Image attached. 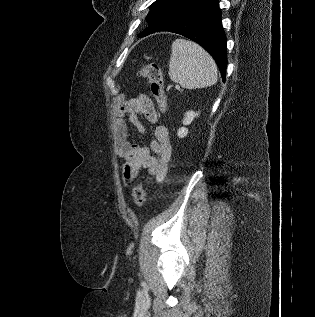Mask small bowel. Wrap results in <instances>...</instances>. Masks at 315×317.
<instances>
[{"instance_id":"c3829d8e","label":"small bowel","mask_w":315,"mask_h":317,"mask_svg":"<svg viewBox=\"0 0 315 317\" xmlns=\"http://www.w3.org/2000/svg\"><path fill=\"white\" fill-rule=\"evenodd\" d=\"M112 121L114 134V153L125 160L123 174L125 181L135 178L141 168L148 170L149 178L162 182L168 172L172 146L168 129L158 124V114L153 102L146 96L132 99L121 105L114 112ZM144 118L150 127L154 128L149 145H142L130 140L127 123H131L140 133L145 132L140 122Z\"/></svg>"}]
</instances>
